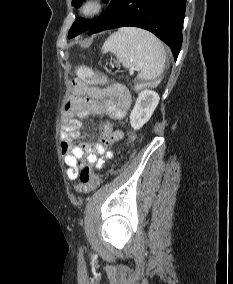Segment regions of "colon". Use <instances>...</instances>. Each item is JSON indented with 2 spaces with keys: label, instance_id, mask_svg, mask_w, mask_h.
Segmentation results:
<instances>
[{
  "label": "colon",
  "instance_id": "obj_1",
  "mask_svg": "<svg viewBox=\"0 0 233 284\" xmlns=\"http://www.w3.org/2000/svg\"><path fill=\"white\" fill-rule=\"evenodd\" d=\"M76 73L80 79L88 83H103L105 77L102 74L93 72L86 66L79 65L76 68ZM163 78V75L157 77L151 83V86L158 85ZM142 86H138L139 91ZM103 123V122H102ZM134 138V134L131 135V139ZM100 183L99 177L91 170L89 165L84 166L79 172V181L75 186V189L79 193H88L95 190Z\"/></svg>",
  "mask_w": 233,
  "mask_h": 284
}]
</instances>
